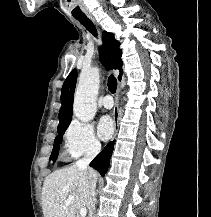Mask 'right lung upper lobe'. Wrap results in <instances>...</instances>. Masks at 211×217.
<instances>
[{
    "instance_id": "cb5924a9",
    "label": "right lung upper lobe",
    "mask_w": 211,
    "mask_h": 217,
    "mask_svg": "<svg viewBox=\"0 0 211 217\" xmlns=\"http://www.w3.org/2000/svg\"><path fill=\"white\" fill-rule=\"evenodd\" d=\"M103 42L105 44V49L109 53V61L111 66L114 69H119L120 74L118 79L121 80L122 76V65L123 62L121 61V50L119 49L120 43L115 40L114 35L112 33H108L106 31L102 34ZM101 57H103V51L100 50ZM106 62V61H104ZM77 80V70L73 69L71 73L68 75L66 80L64 81L62 91H61V108L59 112V125L58 129L70 124L71 116L73 114V98H74V91L75 85ZM57 129V130H58Z\"/></svg>"
}]
</instances>
